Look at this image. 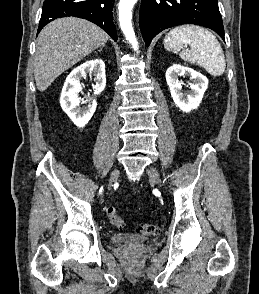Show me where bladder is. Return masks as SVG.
<instances>
[{"mask_svg":"<svg viewBox=\"0 0 259 294\" xmlns=\"http://www.w3.org/2000/svg\"><path fill=\"white\" fill-rule=\"evenodd\" d=\"M111 241L114 243L123 242H144L146 240L145 236H136L130 233H114L110 237Z\"/></svg>","mask_w":259,"mask_h":294,"instance_id":"bladder-1","label":"bladder"}]
</instances>
